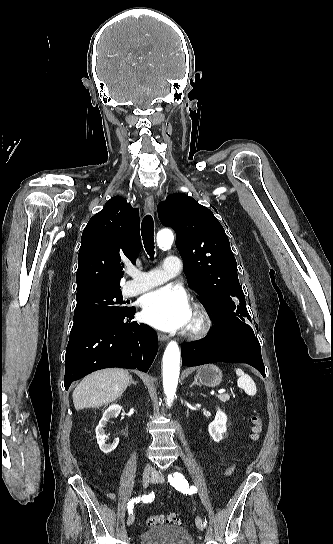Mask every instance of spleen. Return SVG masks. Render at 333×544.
<instances>
[{
  "mask_svg": "<svg viewBox=\"0 0 333 544\" xmlns=\"http://www.w3.org/2000/svg\"><path fill=\"white\" fill-rule=\"evenodd\" d=\"M236 374L238 376V386L242 388L249 396H254L257 392V389L251 377L245 374L240 368L236 369Z\"/></svg>",
  "mask_w": 333,
  "mask_h": 544,
  "instance_id": "obj_1",
  "label": "spleen"
}]
</instances>
